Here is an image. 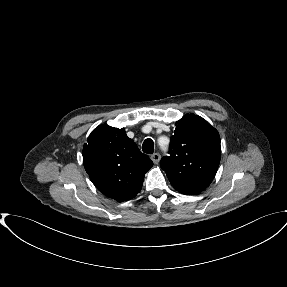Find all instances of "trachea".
<instances>
[{"instance_id": "1", "label": "trachea", "mask_w": 287, "mask_h": 287, "mask_svg": "<svg viewBox=\"0 0 287 287\" xmlns=\"http://www.w3.org/2000/svg\"><path fill=\"white\" fill-rule=\"evenodd\" d=\"M142 150L144 153L152 154L154 152V142L152 139H146L142 144Z\"/></svg>"}]
</instances>
